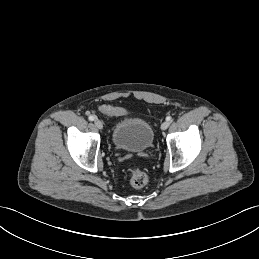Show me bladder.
<instances>
[{"instance_id": "bladder-1", "label": "bladder", "mask_w": 259, "mask_h": 259, "mask_svg": "<svg viewBox=\"0 0 259 259\" xmlns=\"http://www.w3.org/2000/svg\"><path fill=\"white\" fill-rule=\"evenodd\" d=\"M151 125L142 118L127 117L120 120L113 128L112 142L118 149L143 152L153 143Z\"/></svg>"}]
</instances>
